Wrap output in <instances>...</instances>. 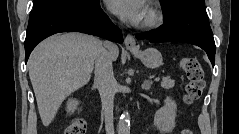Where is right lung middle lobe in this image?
I'll list each match as a JSON object with an SVG mask.
<instances>
[{"instance_id": "right-lung-middle-lobe-1", "label": "right lung middle lobe", "mask_w": 239, "mask_h": 134, "mask_svg": "<svg viewBox=\"0 0 239 134\" xmlns=\"http://www.w3.org/2000/svg\"><path fill=\"white\" fill-rule=\"evenodd\" d=\"M48 0H34V8L40 6L41 4L47 2Z\"/></svg>"}]
</instances>
